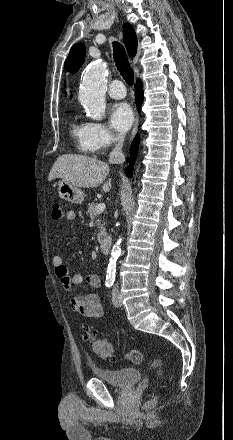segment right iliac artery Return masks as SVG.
<instances>
[{"mask_svg":"<svg viewBox=\"0 0 233 440\" xmlns=\"http://www.w3.org/2000/svg\"><path fill=\"white\" fill-rule=\"evenodd\" d=\"M113 283H114V280L107 279L105 282V285H106V287L110 288V287H112Z\"/></svg>","mask_w":233,"mask_h":440,"instance_id":"82829eb1","label":"right iliac artery"}]
</instances>
